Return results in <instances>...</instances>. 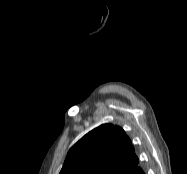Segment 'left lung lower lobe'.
<instances>
[{
    "label": "left lung lower lobe",
    "mask_w": 187,
    "mask_h": 174,
    "mask_svg": "<svg viewBox=\"0 0 187 174\" xmlns=\"http://www.w3.org/2000/svg\"><path fill=\"white\" fill-rule=\"evenodd\" d=\"M137 174H144V172L141 170V172H137Z\"/></svg>",
    "instance_id": "obj_1"
}]
</instances>
